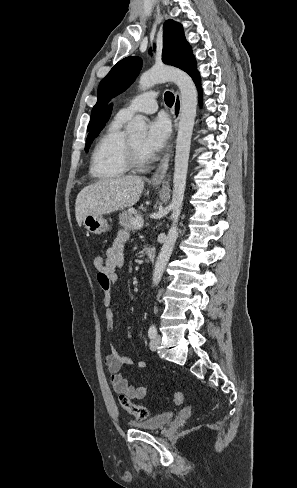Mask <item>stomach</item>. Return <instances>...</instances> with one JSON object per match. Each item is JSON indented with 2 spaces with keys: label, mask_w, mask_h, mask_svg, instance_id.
I'll return each mask as SVG.
<instances>
[{
  "label": "stomach",
  "mask_w": 297,
  "mask_h": 488,
  "mask_svg": "<svg viewBox=\"0 0 297 488\" xmlns=\"http://www.w3.org/2000/svg\"><path fill=\"white\" fill-rule=\"evenodd\" d=\"M83 225L93 234H102L109 230L108 222L102 215L87 214L83 219Z\"/></svg>",
  "instance_id": "0dacf381"
}]
</instances>
